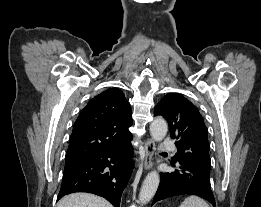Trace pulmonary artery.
<instances>
[{
    "label": "pulmonary artery",
    "instance_id": "pulmonary-artery-1",
    "mask_svg": "<svg viewBox=\"0 0 261 207\" xmlns=\"http://www.w3.org/2000/svg\"><path fill=\"white\" fill-rule=\"evenodd\" d=\"M161 147L165 150H173L175 148V145L172 140H170L169 138H165L161 143Z\"/></svg>",
    "mask_w": 261,
    "mask_h": 207
}]
</instances>
